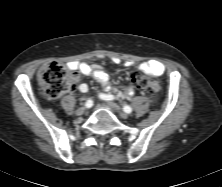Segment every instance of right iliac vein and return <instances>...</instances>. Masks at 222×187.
<instances>
[{
    "instance_id": "1",
    "label": "right iliac vein",
    "mask_w": 222,
    "mask_h": 187,
    "mask_svg": "<svg viewBox=\"0 0 222 187\" xmlns=\"http://www.w3.org/2000/svg\"><path fill=\"white\" fill-rule=\"evenodd\" d=\"M86 111V108L85 107H79L77 110H76V115L80 116L82 114H84Z\"/></svg>"
}]
</instances>
